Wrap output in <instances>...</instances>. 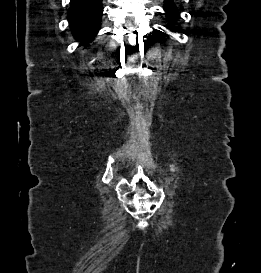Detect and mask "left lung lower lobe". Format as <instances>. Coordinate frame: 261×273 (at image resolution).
Returning a JSON list of instances; mask_svg holds the SVG:
<instances>
[{
  "label": "left lung lower lobe",
  "mask_w": 261,
  "mask_h": 273,
  "mask_svg": "<svg viewBox=\"0 0 261 273\" xmlns=\"http://www.w3.org/2000/svg\"><path fill=\"white\" fill-rule=\"evenodd\" d=\"M165 15L170 20L168 26H173L176 18L178 17V10L173 4L172 0H165L164 2Z\"/></svg>",
  "instance_id": "obj_1"
}]
</instances>
